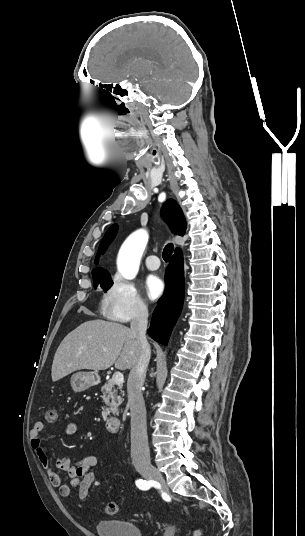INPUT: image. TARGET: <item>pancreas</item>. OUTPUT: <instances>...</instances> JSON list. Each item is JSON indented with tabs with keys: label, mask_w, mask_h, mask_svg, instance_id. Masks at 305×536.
<instances>
[{
	"label": "pancreas",
	"mask_w": 305,
	"mask_h": 536,
	"mask_svg": "<svg viewBox=\"0 0 305 536\" xmlns=\"http://www.w3.org/2000/svg\"><path fill=\"white\" fill-rule=\"evenodd\" d=\"M115 386L116 384H113L112 380H108L107 384H104L101 388L103 402L105 404L102 412L104 420H107V416H109L110 412H113V414H117L118 416V406L123 402L121 396H118L119 390L120 392H123L122 386H118V388H115Z\"/></svg>",
	"instance_id": "pancreas-1"
}]
</instances>
